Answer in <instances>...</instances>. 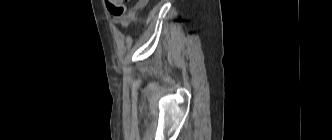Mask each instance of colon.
<instances>
[{"label": "colon", "instance_id": "1", "mask_svg": "<svg viewBox=\"0 0 332 140\" xmlns=\"http://www.w3.org/2000/svg\"><path fill=\"white\" fill-rule=\"evenodd\" d=\"M129 0H106V7L111 15L114 17H122L124 15L126 4ZM144 0H139L136 8H141L144 5Z\"/></svg>", "mask_w": 332, "mask_h": 140}]
</instances>
